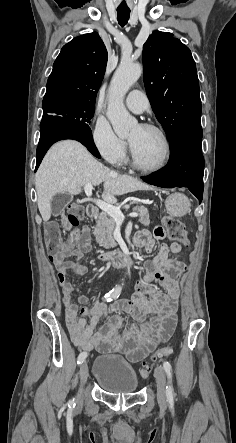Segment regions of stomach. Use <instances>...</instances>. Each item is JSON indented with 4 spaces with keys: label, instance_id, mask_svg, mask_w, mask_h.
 Returning <instances> with one entry per match:
<instances>
[{
    "label": "stomach",
    "instance_id": "1",
    "mask_svg": "<svg viewBox=\"0 0 236 443\" xmlns=\"http://www.w3.org/2000/svg\"><path fill=\"white\" fill-rule=\"evenodd\" d=\"M165 206L173 216H183L189 209V200L182 193H173L168 196Z\"/></svg>",
    "mask_w": 236,
    "mask_h": 443
}]
</instances>
